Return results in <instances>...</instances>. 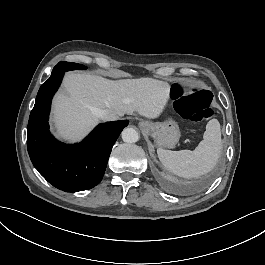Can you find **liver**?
Listing matches in <instances>:
<instances>
[{
	"mask_svg": "<svg viewBox=\"0 0 265 265\" xmlns=\"http://www.w3.org/2000/svg\"><path fill=\"white\" fill-rule=\"evenodd\" d=\"M65 93L55 100V120L66 139L81 137L99 121L98 111L118 116L136 110L147 119L158 118L168 103L170 86L153 79L109 81L91 75L69 73Z\"/></svg>",
	"mask_w": 265,
	"mask_h": 265,
	"instance_id": "liver-1",
	"label": "liver"
}]
</instances>
